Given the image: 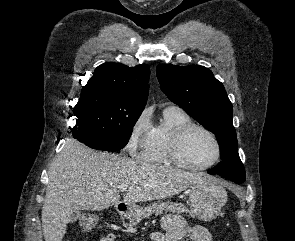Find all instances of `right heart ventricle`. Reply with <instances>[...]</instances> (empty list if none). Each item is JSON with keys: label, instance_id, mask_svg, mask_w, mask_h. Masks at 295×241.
<instances>
[{"label": "right heart ventricle", "instance_id": "obj_1", "mask_svg": "<svg viewBox=\"0 0 295 241\" xmlns=\"http://www.w3.org/2000/svg\"><path fill=\"white\" fill-rule=\"evenodd\" d=\"M190 122H192L190 116L182 109L175 106L167 107L163 112V119L152 126L140 158L156 164L171 162L167 154L168 141L176 129Z\"/></svg>", "mask_w": 295, "mask_h": 241}]
</instances>
